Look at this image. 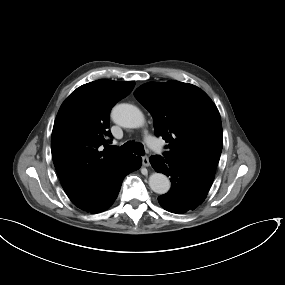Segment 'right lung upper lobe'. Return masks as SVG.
<instances>
[{
    "instance_id": "cb5924a9",
    "label": "right lung upper lobe",
    "mask_w": 285,
    "mask_h": 285,
    "mask_svg": "<svg viewBox=\"0 0 285 285\" xmlns=\"http://www.w3.org/2000/svg\"><path fill=\"white\" fill-rule=\"evenodd\" d=\"M134 86L133 81H93L74 90L59 109L52 131V158L62 187L76 206L134 156L107 149L110 110Z\"/></svg>"
}]
</instances>
